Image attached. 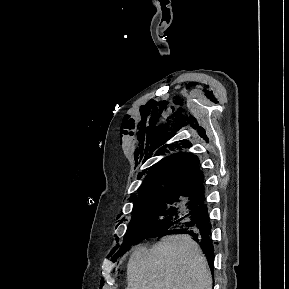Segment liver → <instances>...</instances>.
<instances>
[{"label": "liver", "instance_id": "6515ba94", "mask_svg": "<svg viewBox=\"0 0 289 289\" xmlns=\"http://www.w3.org/2000/svg\"><path fill=\"white\" fill-rule=\"evenodd\" d=\"M126 289H212V276L199 245L189 235L164 237L138 246L127 264Z\"/></svg>", "mask_w": 289, "mask_h": 289}]
</instances>
